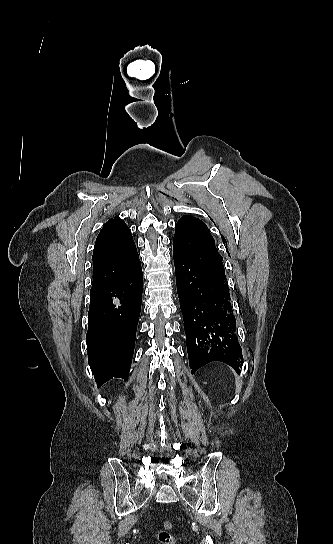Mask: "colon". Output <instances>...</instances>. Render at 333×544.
I'll use <instances>...</instances> for the list:
<instances>
[{
  "mask_svg": "<svg viewBox=\"0 0 333 544\" xmlns=\"http://www.w3.org/2000/svg\"><path fill=\"white\" fill-rule=\"evenodd\" d=\"M173 524L165 521L157 532V539L161 544H176L175 538L171 533Z\"/></svg>",
  "mask_w": 333,
  "mask_h": 544,
  "instance_id": "1",
  "label": "colon"
}]
</instances>
